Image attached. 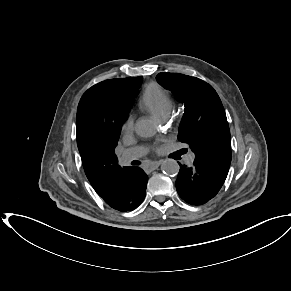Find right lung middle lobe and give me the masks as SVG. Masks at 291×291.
I'll return each mask as SVG.
<instances>
[{
	"label": "right lung middle lobe",
	"mask_w": 291,
	"mask_h": 291,
	"mask_svg": "<svg viewBox=\"0 0 291 291\" xmlns=\"http://www.w3.org/2000/svg\"><path fill=\"white\" fill-rule=\"evenodd\" d=\"M142 77H137L131 85V97L123 98L117 94L106 93L100 107V119L104 135L112 145L116 146L121 133V126L130 111L135 94L141 84Z\"/></svg>",
	"instance_id": "dd1d6c3e"
}]
</instances>
